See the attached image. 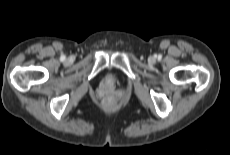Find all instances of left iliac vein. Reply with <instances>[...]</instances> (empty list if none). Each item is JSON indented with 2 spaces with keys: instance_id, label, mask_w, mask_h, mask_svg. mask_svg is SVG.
<instances>
[{
  "instance_id": "4c4485c4",
  "label": "left iliac vein",
  "mask_w": 230,
  "mask_h": 155,
  "mask_svg": "<svg viewBox=\"0 0 230 155\" xmlns=\"http://www.w3.org/2000/svg\"><path fill=\"white\" fill-rule=\"evenodd\" d=\"M149 62H150V63H154V62H155V58H154V57H150V58H149Z\"/></svg>"
}]
</instances>
